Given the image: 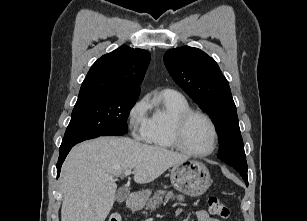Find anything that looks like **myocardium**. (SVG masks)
Instances as JSON below:
<instances>
[{
    "instance_id": "1",
    "label": "myocardium",
    "mask_w": 307,
    "mask_h": 221,
    "mask_svg": "<svg viewBox=\"0 0 307 221\" xmlns=\"http://www.w3.org/2000/svg\"><path fill=\"white\" fill-rule=\"evenodd\" d=\"M195 116H200L204 118L208 122L212 130L211 148L208 151L203 152V153H196V152L191 151L185 146L183 142V135H184L186 125ZM172 139H173L174 146L182 153L188 156H191V157H195V158H204V157L211 155L216 150L218 146L219 135H218V130H217V126L215 122L207 113L200 111V110L190 109L188 111L181 113L176 118L175 123H174V128H173Z\"/></svg>"
}]
</instances>
